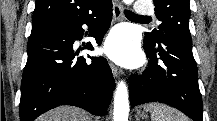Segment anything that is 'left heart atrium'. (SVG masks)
I'll use <instances>...</instances> for the list:
<instances>
[{
	"label": "left heart atrium",
	"instance_id": "1",
	"mask_svg": "<svg viewBox=\"0 0 217 121\" xmlns=\"http://www.w3.org/2000/svg\"><path fill=\"white\" fill-rule=\"evenodd\" d=\"M105 53L113 60L133 65L140 62V53L133 34L127 29L115 30L107 39Z\"/></svg>",
	"mask_w": 217,
	"mask_h": 121
}]
</instances>
